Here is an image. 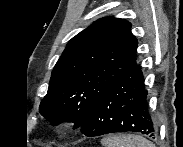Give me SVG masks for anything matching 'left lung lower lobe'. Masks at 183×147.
Instances as JSON below:
<instances>
[{"mask_svg": "<svg viewBox=\"0 0 183 147\" xmlns=\"http://www.w3.org/2000/svg\"><path fill=\"white\" fill-rule=\"evenodd\" d=\"M127 131L149 136L157 131L148 111L147 90L137 63L105 91L81 126V132L88 137Z\"/></svg>", "mask_w": 183, "mask_h": 147, "instance_id": "1", "label": "left lung lower lobe"}]
</instances>
